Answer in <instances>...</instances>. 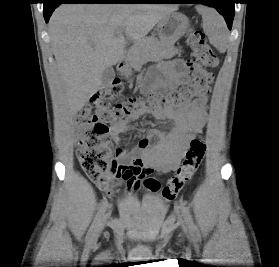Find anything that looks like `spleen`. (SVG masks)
<instances>
[{
  "label": "spleen",
  "instance_id": "obj_1",
  "mask_svg": "<svg viewBox=\"0 0 279 267\" xmlns=\"http://www.w3.org/2000/svg\"><path fill=\"white\" fill-rule=\"evenodd\" d=\"M196 9L202 15L203 29L210 43L220 51H223L227 43L228 34L222 17L214 9L206 6L200 5Z\"/></svg>",
  "mask_w": 279,
  "mask_h": 267
}]
</instances>
